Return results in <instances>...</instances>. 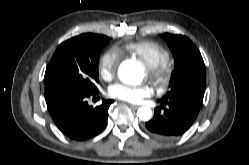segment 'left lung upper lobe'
<instances>
[{
  "instance_id": "left-lung-upper-lobe-1",
  "label": "left lung upper lobe",
  "mask_w": 249,
  "mask_h": 165,
  "mask_svg": "<svg viewBox=\"0 0 249 165\" xmlns=\"http://www.w3.org/2000/svg\"><path fill=\"white\" fill-rule=\"evenodd\" d=\"M164 36L173 46L177 62L171 75V90L164 98L180 94H195L203 97L206 86L205 64L196 46L182 35L165 33Z\"/></svg>"
}]
</instances>
